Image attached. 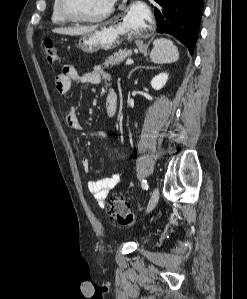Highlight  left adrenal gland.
<instances>
[{
    "label": "left adrenal gland",
    "instance_id": "1",
    "mask_svg": "<svg viewBox=\"0 0 247 299\" xmlns=\"http://www.w3.org/2000/svg\"><path fill=\"white\" fill-rule=\"evenodd\" d=\"M139 68L153 69V68H156V67L137 66V67H135L134 69H132V70L129 72V74H128V78H130L131 74H132L134 71H136L137 69H139Z\"/></svg>",
    "mask_w": 247,
    "mask_h": 299
}]
</instances>
